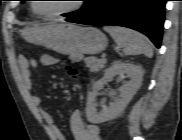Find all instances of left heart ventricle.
<instances>
[{"mask_svg": "<svg viewBox=\"0 0 182 140\" xmlns=\"http://www.w3.org/2000/svg\"><path fill=\"white\" fill-rule=\"evenodd\" d=\"M74 5L72 1H43L41 3L36 4L38 11L42 14H50L62 10H66L71 8Z\"/></svg>", "mask_w": 182, "mask_h": 140, "instance_id": "1", "label": "left heart ventricle"}]
</instances>
